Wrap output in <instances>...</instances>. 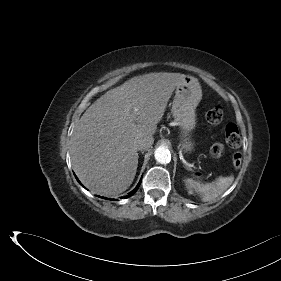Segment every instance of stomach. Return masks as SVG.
I'll use <instances>...</instances> for the list:
<instances>
[{
	"mask_svg": "<svg viewBox=\"0 0 281 281\" xmlns=\"http://www.w3.org/2000/svg\"><path fill=\"white\" fill-rule=\"evenodd\" d=\"M202 90L198 80L192 76H185L176 87L175 97L172 103V115L182 130V148L190 152L193 143L190 132L196 125V107L201 101Z\"/></svg>",
	"mask_w": 281,
	"mask_h": 281,
	"instance_id": "stomach-1",
	"label": "stomach"
}]
</instances>
